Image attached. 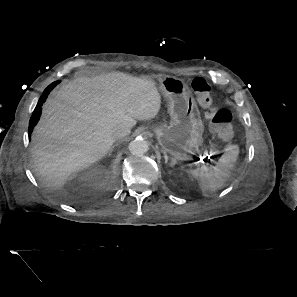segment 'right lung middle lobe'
Segmentation results:
<instances>
[{"mask_svg":"<svg viewBox=\"0 0 297 297\" xmlns=\"http://www.w3.org/2000/svg\"><path fill=\"white\" fill-rule=\"evenodd\" d=\"M60 81H56V82H53L52 84H50L49 86H51V88H53L56 84H58Z\"/></svg>","mask_w":297,"mask_h":297,"instance_id":"1","label":"right lung middle lobe"}]
</instances>
